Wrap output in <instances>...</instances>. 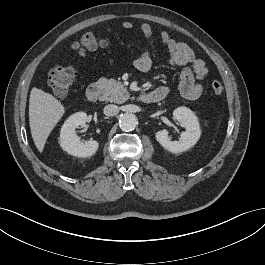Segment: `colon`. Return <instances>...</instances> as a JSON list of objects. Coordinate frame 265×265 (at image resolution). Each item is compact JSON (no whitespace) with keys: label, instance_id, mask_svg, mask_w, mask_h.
<instances>
[{"label":"colon","instance_id":"obj_1","mask_svg":"<svg viewBox=\"0 0 265 265\" xmlns=\"http://www.w3.org/2000/svg\"><path fill=\"white\" fill-rule=\"evenodd\" d=\"M104 44V41L93 33L84 34L80 41L73 44L72 48L78 53L93 50ZM76 72L71 65L55 66L48 75V84L53 93L58 97H66L74 83ZM210 92L214 96L223 93V85L220 81H214L210 85Z\"/></svg>","mask_w":265,"mask_h":265}]
</instances>
